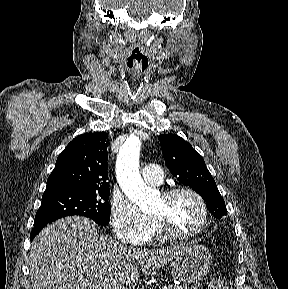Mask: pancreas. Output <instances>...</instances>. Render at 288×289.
Returning a JSON list of instances; mask_svg holds the SVG:
<instances>
[{"label": "pancreas", "mask_w": 288, "mask_h": 289, "mask_svg": "<svg viewBox=\"0 0 288 289\" xmlns=\"http://www.w3.org/2000/svg\"><path fill=\"white\" fill-rule=\"evenodd\" d=\"M168 289H198V286L189 287L187 285L184 286L168 285Z\"/></svg>", "instance_id": "cf45deb5"}]
</instances>
